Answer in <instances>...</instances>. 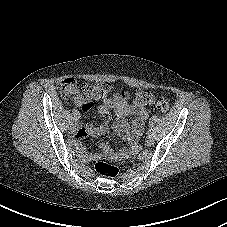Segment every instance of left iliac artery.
<instances>
[{"instance_id":"obj_1","label":"left iliac artery","mask_w":227,"mask_h":227,"mask_svg":"<svg viewBox=\"0 0 227 227\" xmlns=\"http://www.w3.org/2000/svg\"><path fill=\"white\" fill-rule=\"evenodd\" d=\"M150 133H151V130H150V129H148V130H147V134H150Z\"/></svg>"}]
</instances>
